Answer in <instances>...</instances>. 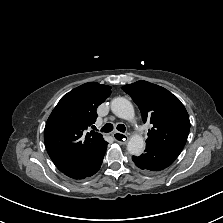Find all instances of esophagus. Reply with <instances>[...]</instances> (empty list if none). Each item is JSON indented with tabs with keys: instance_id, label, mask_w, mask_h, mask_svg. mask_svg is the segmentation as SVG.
<instances>
[{
	"instance_id": "34e87169",
	"label": "esophagus",
	"mask_w": 223,
	"mask_h": 223,
	"mask_svg": "<svg viewBox=\"0 0 223 223\" xmlns=\"http://www.w3.org/2000/svg\"><path fill=\"white\" fill-rule=\"evenodd\" d=\"M113 138L115 139V141L121 143V144H126L128 141V135L126 134H122L120 132H114L112 134Z\"/></svg>"
}]
</instances>
